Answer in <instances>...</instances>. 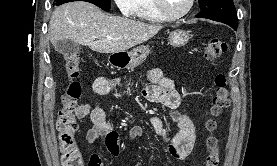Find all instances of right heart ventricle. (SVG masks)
<instances>
[{
	"label": "right heart ventricle",
	"instance_id": "1",
	"mask_svg": "<svg viewBox=\"0 0 277 166\" xmlns=\"http://www.w3.org/2000/svg\"><path fill=\"white\" fill-rule=\"evenodd\" d=\"M131 14L135 18L149 23H163L166 21L158 12L154 0H135Z\"/></svg>",
	"mask_w": 277,
	"mask_h": 166
}]
</instances>
